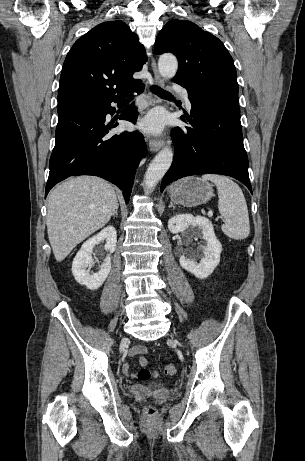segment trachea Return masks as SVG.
Segmentation results:
<instances>
[{
    "label": "trachea",
    "mask_w": 305,
    "mask_h": 461,
    "mask_svg": "<svg viewBox=\"0 0 305 461\" xmlns=\"http://www.w3.org/2000/svg\"><path fill=\"white\" fill-rule=\"evenodd\" d=\"M151 91L160 97H172V95L158 86H151ZM131 98V96L129 97Z\"/></svg>",
    "instance_id": "1"
}]
</instances>
